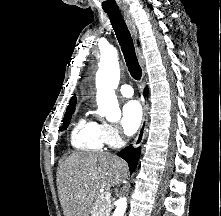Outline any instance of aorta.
Masks as SVG:
<instances>
[{
	"label": "aorta",
	"mask_w": 221,
	"mask_h": 216,
	"mask_svg": "<svg viewBox=\"0 0 221 216\" xmlns=\"http://www.w3.org/2000/svg\"><path fill=\"white\" fill-rule=\"evenodd\" d=\"M120 80V69L117 50L114 47L102 51L99 69L96 73L97 113L109 121H117L121 112L118 105L115 89ZM117 207L113 216H124L127 199L121 197L116 201Z\"/></svg>",
	"instance_id": "obj_1"
}]
</instances>
